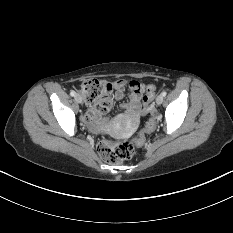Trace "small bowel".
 Listing matches in <instances>:
<instances>
[{"label":"small bowel","instance_id":"obj_1","mask_svg":"<svg viewBox=\"0 0 233 233\" xmlns=\"http://www.w3.org/2000/svg\"><path fill=\"white\" fill-rule=\"evenodd\" d=\"M114 89V99L120 101L124 98L125 89L128 87L130 89V94L128 100L122 105V109L126 112L129 120L135 122L138 117L144 115L147 111L144 107L143 97H144V85L137 80H117L112 83ZM110 104L106 111L111 107ZM88 111L86 113L85 119L91 126L93 130H101L104 126V121L101 107L104 105L103 101L100 100H87Z\"/></svg>","mask_w":233,"mask_h":233}]
</instances>
